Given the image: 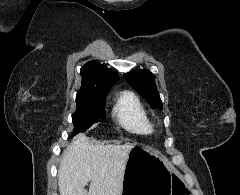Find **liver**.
<instances>
[{
    "label": "liver",
    "instance_id": "obj_1",
    "mask_svg": "<svg viewBox=\"0 0 240 195\" xmlns=\"http://www.w3.org/2000/svg\"><path fill=\"white\" fill-rule=\"evenodd\" d=\"M134 143H93L78 133L66 147L58 169L61 195H121L125 167ZM90 181L89 191L85 189Z\"/></svg>",
    "mask_w": 240,
    "mask_h": 195
}]
</instances>
